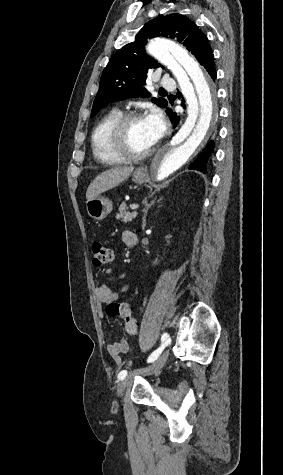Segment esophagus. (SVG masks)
<instances>
[{
    "instance_id": "obj_1",
    "label": "esophagus",
    "mask_w": 283,
    "mask_h": 475,
    "mask_svg": "<svg viewBox=\"0 0 283 475\" xmlns=\"http://www.w3.org/2000/svg\"><path fill=\"white\" fill-rule=\"evenodd\" d=\"M158 160H159V156H158V155H156V156L154 157V159H153L152 163H154V162H157Z\"/></svg>"
}]
</instances>
